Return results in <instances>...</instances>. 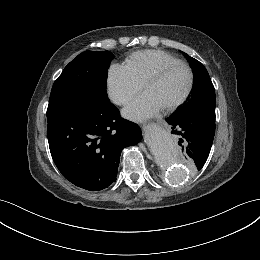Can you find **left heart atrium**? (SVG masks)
I'll use <instances>...</instances> for the list:
<instances>
[{
  "label": "left heart atrium",
  "mask_w": 260,
  "mask_h": 260,
  "mask_svg": "<svg viewBox=\"0 0 260 260\" xmlns=\"http://www.w3.org/2000/svg\"><path fill=\"white\" fill-rule=\"evenodd\" d=\"M163 108L147 92L137 97L124 111V114L135 120L146 119L156 115Z\"/></svg>",
  "instance_id": "obj_1"
}]
</instances>
